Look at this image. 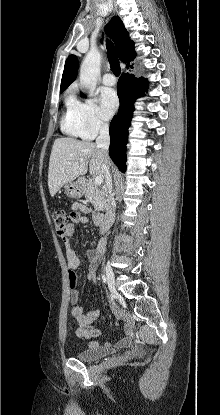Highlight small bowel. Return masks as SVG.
Here are the masks:
<instances>
[{
  "mask_svg": "<svg viewBox=\"0 0 220 415\" xmlns=\"http://www.w3.org/2000/svg\"><path fill=\"white\" fill-rule=\"evenodd\" d=\"M90 213V209L80 203H74L70 209V222L63 235H58L59 238L64 242L66 246V258L68 263V279L71 287V303L77 304L80 300V291L77 288L78 283V273L77 269L81 266L82 260L76 251L70 246V237L74 233V226L76 224H87L90 222V219L84 214ZM103 219L102 214L94 213L92 220L95 223H101ZM107 250V236L102 237L95 249H90L85 252V258L88 262L87 266V278L95 282L96 280V268L101 262L102 256ZM71 314L75 319L78 328L76 330V335L80 338H96L99 336L100 332L94 325V322L99 318L100 311L98 309L85 311L83 307L75 306L72 308ZM115 317L123 321L124 323V336L113 343L106 342L103 346L107 349H114L120 347H126L132 342V326L127 322L126 316L121 311H115ZM89 346H100L96 341H91Z\"/></svg>",
  "mask_w": 220,
  "mask_h": 415,
  "instance_id": "c3829d8e",
  "label": "small bowel"
}]
</instances>
